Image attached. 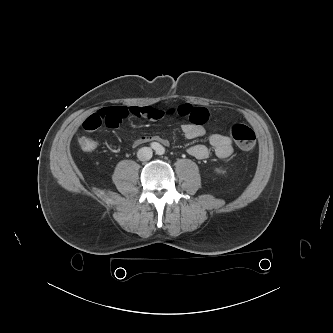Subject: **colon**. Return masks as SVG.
Masks as SVG:
<instances>
[{
	"mask_svg": "<svg viewBox=\"0 0 333 333\" xmlns=\"http://www.w3.org/2000/svg\"><path fill=\"white\" fill-rule=\"evenodd\" d=\"M230 133L240 149L249 151L254 148L256 144V135L247 125L236 123L231 127ZM78 144L85 152H91L96 148V141L88 136L79 137Z\"/></svg>",
	"mask_w": 333,
	"mask_h": 333,
	"instance_id": "5ec220e1",
	"label": "colon"
}]
</instances>
